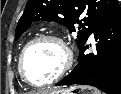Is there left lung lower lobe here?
I'll return each mask as SVG.
<instances>
[{
  "mask_svg": "<svg viewBox=\"0 0 121 94\" xmlns=\"http://www.w3.org/2000/svg\"><path fill=\"white\" fill-rule=\"evenodd\" d=\"M93 53L80 48L81 57L73 71L56 86L84 84L95 86L106 94H121V12L103 22L93 32Z\"/></svg>",
  "mask_w": 121,
  "mask_h": 94,
  "instance_id": "left-lung-lower-lobe-1",
  "label": "left lung lower lobe"
}]
</instances>
